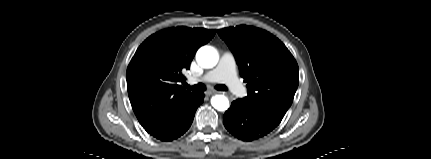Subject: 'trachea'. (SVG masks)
Listing matches in <instances>:
<instances>
[{"label":"trachea","mask_w":431,"mask_h":159,"mask_svg":"<svg viewBox=\"0 0 431 159\" xmlns=\"http://www.w3.org/2000/svg\"><path fill=\"white\" fill-rule=\"evenodd\" d=\"M185 88L189 89L190 91H192L194 93H202L206 90V86L202 83L196 84L194 86H190L188 84H185ZM215 89H217L219 91H226L227 87L223 84H219V85L215 86Z\"/></svg>","instance_id":"3493384b"}]
</instances>
